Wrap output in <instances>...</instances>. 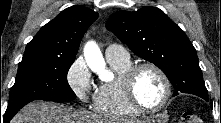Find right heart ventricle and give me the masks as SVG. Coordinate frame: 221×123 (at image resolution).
Returning a JSON list of instances; mask_svg holds the SVG:
<instances>
[{
    "label": "right heart ventricle",
    "mask_w": 221,
    "mask_h": 123,
    "mask_svg": "<svg viewBox=\"0 0 221 123\" xmlns=\"http://www.w3.org/2000/svg\"><path fill=\"white\" fill-rule=\"evenodd\" d=\"M109 64L115 71L116 78L97 88L94 96L95 112L109 119H131L139 116L140 112L127 102L121 86L122 75L132 66L130 59L110 60Z\"/></svg>",
    "instance_id": "1"
}]
</instances>
